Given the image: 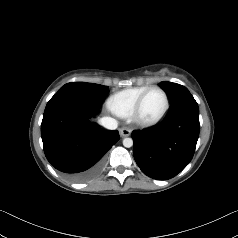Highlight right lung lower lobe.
Masks as SVG:
<instances>
[{
  "label": "right lung lower lobe",
  "mask_w": 238,
  "mask_h": 238,
  "mask_svg": "<svg viewBox=\"0 0 238 238\" xmlns=\"http://www.w3.org/2000/svg\"><path fill=\"white\" fill-rule=\"evenodd\" d=\"M101 102L74 92L56 93L47 103L41 124L45 156L75 182L96 176L103 156L119 140L117 130L100 128L92 118Z\"/></svg>",
  "instance_id": "98d812e1"
}]
</instances>
